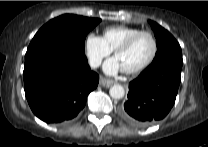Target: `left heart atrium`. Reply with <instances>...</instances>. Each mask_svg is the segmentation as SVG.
I'll return each instance as SVG.
<instances>
[{"label": "left heart atrium", "instance_id": "left-heart-atrium-1", "mask_svg": "<svg viewBox=\"0 0 208 147\" xmlns=\"http://www.w3.org/2000/svg\"><path fill=\"white\" fill-rule=\"evenodd\" d=\"M103 69H104L105 73H107L109 75H113V74H116L117 72H119L120 70H122V67H121L118 59L116 57H113L104 63Z\"/></svg>", "mask_w": 208, "mask_h": 147}]
</instances>
